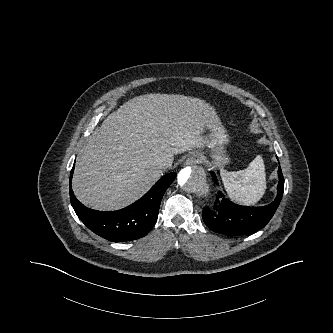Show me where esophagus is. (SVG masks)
I'll return each instance as SVG.
<instances>
[{
  "instance_id": "obj_1",
  "label": "esophagus",
  "mask_w": 333,
  "mask_h": 333,
  "mask_svg": "<svg viewBox=\"0 0 333 333\" xmlns=\"http://www.w3.org/2000/svg\"><path fill=\"white\" fill-rule=\"evenodd\" d=\"M201 162V155L198 152L192 153L185 161L186 165H193Z\"/></svg>"
}]
</instances>
